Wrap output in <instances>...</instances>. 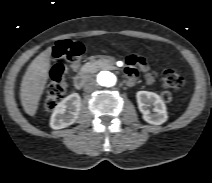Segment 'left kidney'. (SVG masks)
Masks as SVG:
<instances>
[{"instance_id": "left-kidney-1", "label": "left kidney", "mask_w": 212, "mask_h": 183, "mask_svg": "<svg viewBox=\"0 0 212 183\" xmlns=\"http://www.w3.org/2000/svg\"><path fill=\"white\" fill-rule=\"evenodd\" d=\"M136 98L139 111L143 114V119L146 122L153 125H161L167 121L166 105L159 95L149 91H138ZM150 106H154V113L150 112Z\"/></svg>"}]
</instances>
